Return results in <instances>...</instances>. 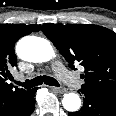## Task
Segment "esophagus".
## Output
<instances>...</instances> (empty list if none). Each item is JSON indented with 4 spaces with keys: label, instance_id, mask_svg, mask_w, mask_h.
Here are the masks:
<instances>
[{
    "label": "esophagus",
    "instance_id": "1",
    "mask_svg": "<svg viewBox=\"0 0 116 116\" xmlns=\"http://www.w3.org/2000/svg\"><path fill=\"white\" fill-rule=\"evenodd\" d=\"M53 91H55L56 93H59V94H63L67 91L66 88H62V87H54V86H51L50 87Z\"/></svg>",
    "mask_w": 116,
    "mask_h": 116
}]
</instances>
